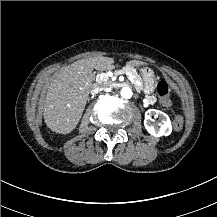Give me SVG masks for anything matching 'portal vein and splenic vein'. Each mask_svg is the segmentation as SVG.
I'll list each match as a JSON object with an SVG mask.
<instances>
[{
  "label": "portal vein and splenic vein",
  "mask_w": 217,
  "mask_h": 217,
  "mask_svg": "<svg viewBox=\"0 0 217 217\" xmlns=\"http://www.w3.org/2000/svg\"><path fill=\"white\" fill-rule=\"evenodd\" d=\"M126 74L128 75L129 79L133 82L134 78L132 77L131 73H126ZM77 103H78V101L76 100L75 104H77Z\"/></svg>",
  "instance_id": "portal-vein-and-splenic-vein-1"
}]
</instances>
